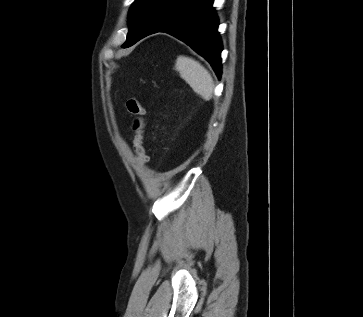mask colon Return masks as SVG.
Here are the masks:
<instances>
[{
  "label": "colon",
  "mask_w": 363,
  "mask_h": 317,
  "mask_svg": "<svg viewBox=\"0 0 363 317\" xmlns=\"http://www.w3.org/2000/svg\"><path fill=\"white\" fill-rule=\"evenodd\" d=\"M128 112L133 116V130L135 133L133 150L135 157L139 161L145 159L144 148V130H143V116L145 115V109L141 102L134 97H131L126 102Z\"/></svg>",
  "instance_id": "obj_1"
}]
</instances>
